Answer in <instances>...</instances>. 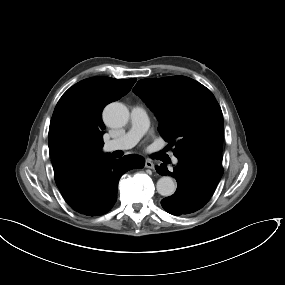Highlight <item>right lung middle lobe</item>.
<instances>
[{
  "mask_svg": "<svg viewBox=\"0 0 285 285\" xmlns=\"http://www.w3.org/2000/svg\"><path fill=\"white\" fill-rule=\"evenodd\" d=\"M55 136L74 155H86L104 145L102 133L87 131L69 119L57 123Z\"/></svg>",
  "mask_w": 285,
  "mask_h": 285,
  "instance_id": "obj_1",
  "label": "right lung middle lobe"
}]
</instances>
